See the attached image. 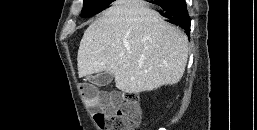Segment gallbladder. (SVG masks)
Returning a JSON list of instances; mask_svg holds the SVG:
<instances>
[{"instance_id": "gallbladder-1", "label": "gallbladder", "mask_w": 257, "mask_h": 130, "mask_svg": "<svg viewBox=\"0 0 257 130\" xmlns=\"http://www.w3.org/2000/svg\"><path fill=\"white\" fill-rule=\"evenodd\" d=\"M87 80L99 87L109 85L113 80V75L108 72H101L95 76H89Z\"/></svg>"}]
</instances>
